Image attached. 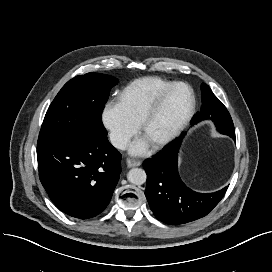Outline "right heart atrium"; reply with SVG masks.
<instances>
[{
    "label": "right heart atrium",
    "instance_id": "obj_1",
    "mask_svg": "<svg viewBox=\"0 0 272 272\" xmlns=\"http://www.w3.org/2000/svg\"><path fill=\"white\" fill-rule=\"evenodd\" d=\"M100 118L111 144L119 149L124 148L138 130V125L128 118L118 102L105 104Z\"/></svg>",
    "mask_w": 272,
    "mask_h": 272
}]
</instances>
